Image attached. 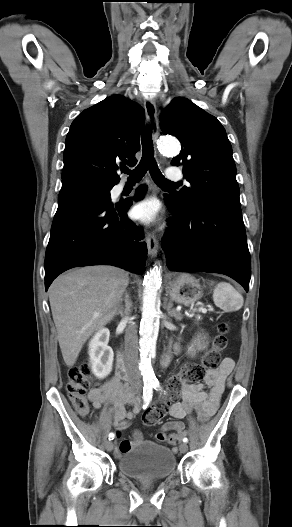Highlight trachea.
Masks as SVG:
<instances>
[{
    "mask_svg": "<svg viewBox=\"0 0 292 527\" xmlns=\"http://www.w3.org/2000/svg\"><path fill=\"white\" fill-rule=\"evenodd\" d=\"M149 170L152 179L160 186H175L177 183L167 180L160 172L154 158L153 141L150 127H147L142 135V158L134 170L122 168L125 174H129L130 181H139Z\"/></svg>",
    "mask_w": 292,
    "mask_h": 527,
    "instance_id": "1",
    "label": "trachea"
}]
</instances>
